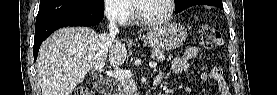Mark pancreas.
Returning a JSON list of instances; mask_svg holds the SVG:
<instances>
[{"label": "pancreas", "instance_id": "1", "mask_svg": "<svg viewBox=\"0 0 277 95\" xmlns=\"http://www.w3.org/2000/svg\"><path fill=\"white\" fill-rule=\"evenodd\" d=\"M164 52L156 49L152 51L151 58L154 61L164 60ZM117 90L119 95H134L137 91L135 83L130 79L118 80Z\"/></svg>", "mask_w": 277, "mask_h": 95}]
</instances>
